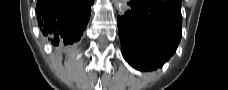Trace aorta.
<instances>
[{"label":"aorta","mask_w":228,"mask_h":90,"mask_svg":"<svg viewBox=\"0 0 228 90\" xmlns=\"http://www.w3.org/2000/svg\"><path fill=\"white\" fill-rule=\"evenodd\" d=\"M115 8L121 12L125 13L128 10V0H113Z\"/></svg>","instance_id":"762f6f07"}]
</instances>
